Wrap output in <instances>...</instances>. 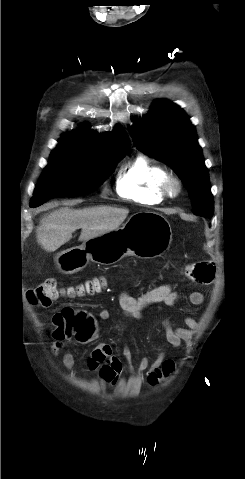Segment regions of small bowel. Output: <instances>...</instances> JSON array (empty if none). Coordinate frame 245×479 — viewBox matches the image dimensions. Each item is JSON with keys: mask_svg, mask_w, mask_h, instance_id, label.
I'll return each instance as SVG.
<instances>
[{"mask_svg": "<svg viewBox=\"0 0 245 479\" xmlns=\"http://www.w3.org/2000/svg\"><path fill=\"white\" fill-rule=\"evenodd\" d=\"M188 302L191 305L198 306L204 301V296L199 291L190 293L187 297ZM179 302V295L174 290L171 284H164L158 286L141 296L135 297L127 292L120 294L118 298L119 308L121 313L129 318L140 319L142 317L143 310L155 303H163L169 306L175 305ZM98 316L101 320H109L111 313L109 310L102 308L99 310ZM186 327H172L168 320L163 321V328L165 331V338L168 345L172 348H177L181 345L182 341L187 339L192 330L198 327V321L193 317L185 318ZM98 325L96 321L90 317L87 325L83 329L82 334L92 336L97 333ZM54 342L51 346V353L53 356H57L59 352L64 348V340L54 338ZM123 356L127 362L130 372L144 373L147 378L150 374L161 370L165 363V352L159 351L155 360L150 363L147 357H143L137 367H134L131 362V352L125 347L123 349ZM63 365L66 369L72 370L75 365V358L71 352H67L63 355ZM87 369L89 371H96L101 381L115 386L119 382L120 375L122 373L123 365L120 358L113 354L112 346L108 343H101L98 347L93 349L87 357Z\"/></svg>", "mask_w": 245, "mask_h": 479, "instance_id": "c3829d8e", "label": "small bowel"}]
</instances>
